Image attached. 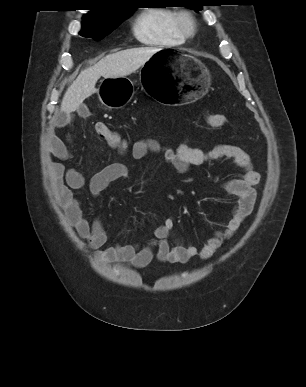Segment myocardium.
I'll list each match as a JSON object with an SVG mask.
<instances>
[{"label": "myocardium", "instance_id": "myocardium-1", "mask_svg": "<svg viewBox=\"0 0 306 387\" xmlns=\"http://www.w3.org/2000/svg\"><path fill=\"white\" fill-rule=\"evenodd\" d=\"M177 26L185 37H193L197 31L195 16L189 11H180L177 15Z\"/></svg>", "mask_w": 306, "mask_h": 387}]
</instances>
